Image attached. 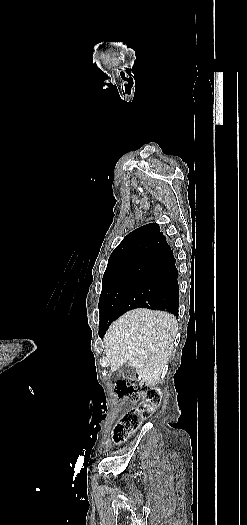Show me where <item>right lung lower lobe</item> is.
<instances>
[{"mask_svg": "<svg viewBox=\"0 0 247 525\" xmlns=\"http://www.w3.org/2000/svg\"><path fill=\"white\" fill-rule=\"evenodd\" d=\"M175 262L170 246L156 255L122 301L119 316L135 308L163 310L178 315L179 286ZM107 329L106 326H99V336L102 337Z\"/></svg>", "mask_w": 247, "mask_h": 525, "instance_id": "right-lung-lower-lobe-1", "label": "right lung lower lobe"}]
</instances>
